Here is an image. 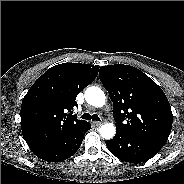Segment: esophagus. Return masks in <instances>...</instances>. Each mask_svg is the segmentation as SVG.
<instances>
[{
  "label": "esophagus",
  "mask_w": 184,
  "mask_h": 184,
  "mask_svg": "<svg viewBox=\"0 0 184 184\" xmlns=\"http://www.w3.org/2000/svg\"><path fill=\"white\" fill-rule=\"evenodd\" d=\"M93 124H94L95 126H100V125H102V122H93Z\"/></svg>",
  "instance_id": "esophagus-1"
}]
</instances>
